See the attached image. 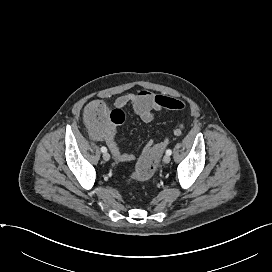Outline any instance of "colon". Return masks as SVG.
Returning <instances> with one entry per match:
<instances>
[{"label":"colon","mask_w":272,"mask_h":272,"mask_svg":"<svg viewBox=\"0 0 272 272\" xmlns=\"http://www.w3.org/2000/svg\"><path fill=\"white\" fill-rule=\"evenodd\" d=\"M85 121L93 135H102L108 129L123 123L124 113L121 109H110L101 100H94L85 107ZM168 143L169 140L166 138L149 149L137 162L130 179L140 181L150 179Z\"/></svg>","instance_id":"colon-1"}]
</instances>
